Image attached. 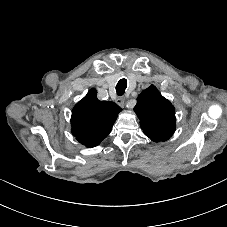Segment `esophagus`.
Segmentation results:
<instances>
[{
  "label": "esophagus",
  "instance_id": "esophagus-1",
  "mask_svg": "<svg viewBox=\"0 0 227 227\" xmlns=\"http://www.w3.org/2000/svg\"><path fill=\"white\" fill-rule=\"evenodd\" d=\"M116 103H117L120 107H122V108L125 107V99H124L123 97L117 98V99H116Z\"/></svg>",
  "mask_w": 227,
  "mask_h": 227
}]
</instances>
